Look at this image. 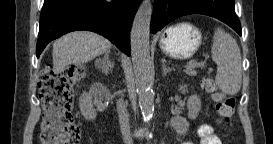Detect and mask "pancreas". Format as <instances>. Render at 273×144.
<instances>
[{
	"mask_svg": "<svg viewBox=\"0 0 273 144\" xmlns=\"http://www.w3.org/2000/svg\"><path fill=\"white\" fill-rule=\"evenodd\" d=\"M185 72H186V74H188L190 76H195L197 74L196 71L189 69V68H186Z\"/></svg>",
	"mask_w": 273,
	"mask_h": 144,
	"instance_id": "obj_1",
	"label": "pancreas"
}]
</instances>
